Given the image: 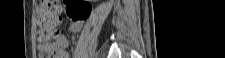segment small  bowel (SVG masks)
Returning <instances> with one entry per match:
<instances>
[{
  "label": "small bowel",
  "instance_id": "c3829d8e",
  "mask_svg": "<svg viewBox=\"0 0 225 58\" xmlns=\"http://www.w3.org/2000/svg\"><path fill=\"white\" fill-rule=\"evenodd\" d=\"M82 21H72L68 26V31L77 33L81 30ZM68 46L67 39L64 35H58L53 42L41 43L38 45V52L41 58L46 54H52L53 58H69V53L65 50Z\"/></svg>",
  "mask_w": 225,
  "mask_h": 58
}]
</instances>
